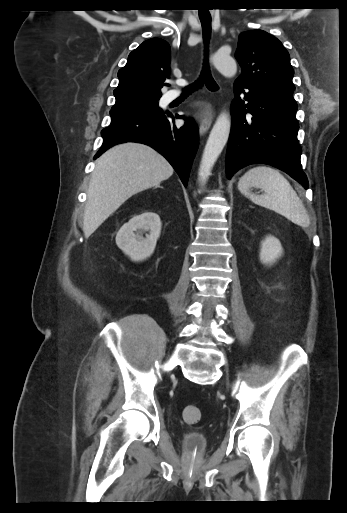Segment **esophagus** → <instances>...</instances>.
Instances as JSON below:
<instances>
[{
	"instance_id": "esophagus-1",
	"label": "esophagus",
	"mask_w": 347,
	"mask_h": 513,
	"mask_svg": "<svg viewBox=\"0 0 347 513\" xmlns=\"http://www.w3.org/2000/svg\"><path fill=\"white\" fill-rule=\"evenodd\" d=\"M214 116V106L212 103H207L199 114V133L205 134L211 126Z\"/></svg>"
}]
</instances>
